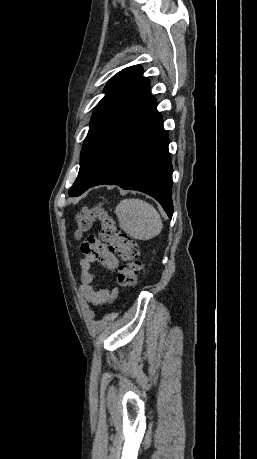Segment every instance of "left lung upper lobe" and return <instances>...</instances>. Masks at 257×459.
Wrapping results in <instances>:
<instances>
[{"instance_id": "1", "label": "left lung upper lobe", "mask_w": 257, "mask_h": 459, "mask_svg": "<svg viewBox=\"0 0 257 459\" xmlns=\"http://www.w3.org/2000/svg\"><path fill=\"white\" fill-rule=\"evenodd\" d=\"M149 83L138 65L123 69L109 80L104 89L106 95L94 108L81 150L80 170L69 190L70 196H79L90 187L100 167L107 132L131 109Z\"/></svg>"}]
</instances>
